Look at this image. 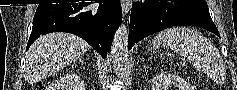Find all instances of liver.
<instances>
[{
    "instance_id": "liver-1",
    "label": "liver",
    "mask_w": 237,
    "mask_h": 90,
    "mask_svg": "<svg viewBox=\"0 0 237 90\" xmlns=\"http://www.w3.org/2000/svg\"><path fill=\"white\" fill-rule=\"evenodd\" d=\"M90 46L74 34H47L38 38L29 48L26 58V72L31 82L46 78L56 70H63L68 64L81 58Z\"/></svg>"
}]
</instances>
